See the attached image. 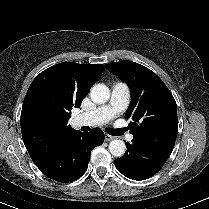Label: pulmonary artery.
<instances>
[{"instance_id": "pulmonary-artery-1", "label": "pulmonary artery", "mask_w": 209, "mask_h": 209, "mask_svg": "<svg viewBox=\"0 0 209 209\" xmlns=\"http://www.w3.org/2000/svg\"><path fill=\"white\" fill-rule=\"evenodd\" d=\"M129 99L130 91L128 86L125 83L117 82L112 88L109 103L92 112L79 114L76 123L87 126L102 125L124 111L128 106ZM133 138V135L127 136L128 141H132Z\"/></svg>"}]
</instances>
